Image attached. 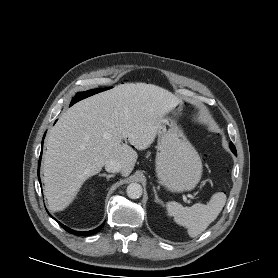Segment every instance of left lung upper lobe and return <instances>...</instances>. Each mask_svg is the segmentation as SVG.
<instances>
[{
    "label": "left lung upper lobe",
    "instance_id": "obj_1",
    "mask_svg": "<svg viewBox=\"0 0 278 278\" xmlns=\"http://www.w3.org/2000/svg\"><path fill=\"white\" fill-rule=\"evenodd\" d=\"M230 148L232 150V152L237 155V152H236V149H235V146L233 145V143H230Z\"/></svg>",
    "mask_w": 278,
    "mask_h": 278
}]
</instances>
